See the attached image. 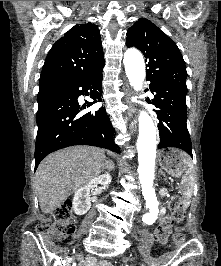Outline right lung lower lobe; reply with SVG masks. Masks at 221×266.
<instances>
[{
	"instance_id": "1",
	"label": "right lung lower lobe",
	"mask_w": 221,
	"mask_h": 266,
	"mask_svg": "<svg viewBox=\"0 0 221 266\" xmlns=\"http://www.w3.org/2000/svg\"><path fill=\"white\" fill-rule=\"evenodd\" d=\"M102 68L38 103L35 169L49 153L68 146L91 145L120 152L119 146L114 143V129L104 107L81 114L86 107L102 101ZM89 89L94 101L80 107L77 99Z\"/></svg>"
}]
</instances>
